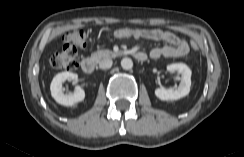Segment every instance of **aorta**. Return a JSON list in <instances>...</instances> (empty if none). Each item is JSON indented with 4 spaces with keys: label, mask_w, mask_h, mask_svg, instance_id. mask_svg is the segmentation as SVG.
I'll return each mask as SVG.
<instances>
[{
    "label": "aorta",
    "mask_w": 244,
    "mask_h": 157,
    "mask_svg": "<svg viewBox=\"0 0 244 157\" xmlns=\"http://www.w3.org/2000/svg\"><path fill=\"white\" fill-rule=\"evenodd\" d=\"M121 66L124 70H130L133 67V61L130 58H123L121 60Z\"/></svg>",
    "instance_id": "1"
}]
</instances>
